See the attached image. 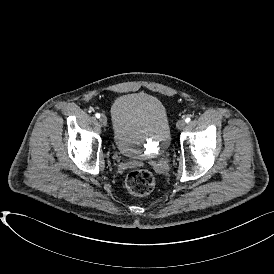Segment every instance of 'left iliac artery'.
<instances>
[{
	"mask_svg": "<svg viewBox=\"0 0 274 274\" xmlns=\"http://www.w3.org/2000/svg\"><path fill=\"white\" fill-rule=\"evenodd\" d=\"M190 120H191V119L188 117V118L185 119V122H186V123H189Z\"/></svg>",
	"mask_w": 274,
	"mask_h": 274,
	"instance_id": "44dca946",
	"label": "left iliac artery"
}]
</instances>
